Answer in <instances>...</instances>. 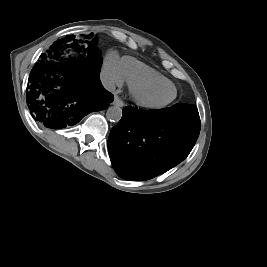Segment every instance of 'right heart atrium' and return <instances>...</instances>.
<instances>
[{
	"instance_id": "obj_1",
	"label": "right heart atrium",
	"mask_w": 267,
	"mask_h": 267,
	"mask_svg": "<svg viewBox=\"0 0 267 267\" xmlns=\"http://www.w3.org/2000/svg\"><path fill=\"white\" fill-rule=\"evenodd\" d=\"M102 78L108 87L121 86L124 83L121 60L114 52L108 53L105 57Z\"/></svg>"
}]
</instances>
